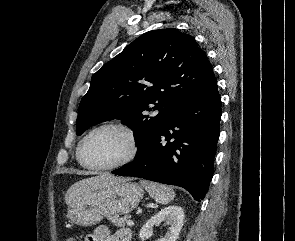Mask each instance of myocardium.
Masks as SVG:
<instances>
[{
	"mask_svg": "<svg viewBox=\"0 0 295 241\" xmlns=\"http://www.w3.org/2000/svg\"><path fill=\"white\" fill-rule=\"evenodd\" d=\"M106 128L119 129L126 134V136L128 137V140H129V144H130V150H129L128 154L121 161L111 164V165L101 166V165H92V164L87 163L84 159V148H85V145H86L88 139L95 132L102 130V129H106ZM138 152H139V140H138L137 134L130 126H128L124 123H121V122H106V123H103V124H100V125L94 127L82 138V140L79 144V147H78L77 158H78L79 163L84 168H87L90 170H95V171H111V170L119 169V168L124 167V166L128 165L129 163H131L135 159V157L137 156Z\"/></svg>",
	"mask_w": 295,
	"mask_h": 241,
	"instance_id": "myocardium-1",
	"label": "myocardium"
}]
</instances>
